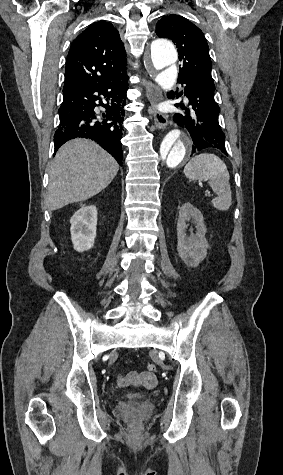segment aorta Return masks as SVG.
Instances as JSON below:
<instances>
[{
	"mask_svg": "<svg viewBox=\"0 0 283 475\" xmlns=\"http://www.w3.org/2000/svg\"><path fill=\"white\" fill-rule=\"evenodd\" d=\"M177 58V51L170 41L157 39L152 42L149 63L158 71L156 81L164 90H171L176 82L177 70L172 66ZM191 149L192 140L186 132L178 128L169 131L159 145L158 171L165 173L176 169L189 158Z\"/></svg>",
	"mask_w": 283,
	"mask_h": 475,
	"instance_id": "aorta-1",
	"label": "aorta"
}]
</instances>
